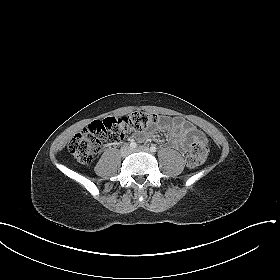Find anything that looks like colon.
I'll use <instances>...</instances> for the list:
<instances>
[{
    "label": "colon",
    "mask_w": 280,
    "mask_h": 280,
    "mask_svg": "<svg viewBox=\"0 0 280 280\" xmlns=\"http://www.w3.org/2000/svg\"><path fill=\"white\" fill-rule=\"evenodd\" d=\"M160 120L161 117L156 113L134 112L128 116L94 121L72 138L69 151L79 163L88 164L107 142H120L128 133L142 131ZM207 155L206 140L196 139L187 155L188 167L200 166Z\"/></svg>",
    "instance_id": "5ec220e1"
}]
</instances>
